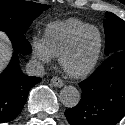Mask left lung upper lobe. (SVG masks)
Masks as SVG:
<instances>
[{
	"instance_id": "left-lung-upper-lobe-1",
	"label": "left lung upper lobe",
	"mask_w": 125,
	"mask_h": 125,
	"mask_svg": "<svg viewBox=\"0 0 125 125\" xmlns=\"http://www.w3.org/2000/svg\"><path fill=\"white\" fill-rule=\"evenodd\" d=\"M105 17V55L108 57L115 52L125 51V21L111 12H106Z\"/></svg>"
}]
</instances>
